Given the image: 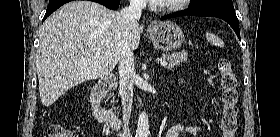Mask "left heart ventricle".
<instances>
[{
    "label": "left heart ventricle",
    "instance_id": "obj_1",
    "mask_svg": "<svg viewBox=\"0 0 280 137\" xmlns=\"http://www.w3.org/2000/svg\"><path fill=\"white\" fill-rule=\"evenodd\" d=\"M176 0H162L160 2V4H172L174 3ZM167 28H170L171 26H166Z\"/></svg>",
    "mask_w": 280,
    "mask_h": 137
}]
</instances>
